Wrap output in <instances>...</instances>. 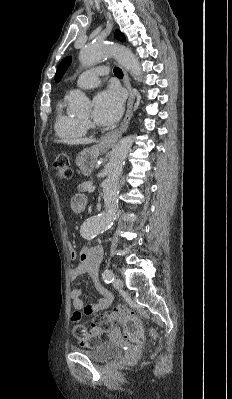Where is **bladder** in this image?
I'll return each instance as SVG.
<instances>
[{"mask_svg":"<svg viewBox=\"0 0 232 399\" xmlns=\"http://www.w3.org/2000/svg\"><path fill=\"white\" fill-rule=\"evenodd\" d=\"M72 349L76 352L87 355L96 362H106L118 357L122 352L119 345L113 341L100 342L91 349H80L77 347H73Z\"/></svg>","mask_w":232,"mask_h":399,"instance_id":"obj_1","label":"bladder"}]
</instances>
